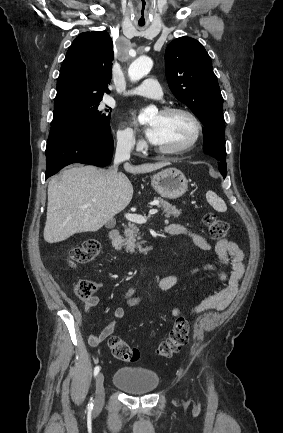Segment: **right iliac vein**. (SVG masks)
Here are the masks:
<instances>
[{
	"label": "right iliac vein",
	"mask_w": 283,
	"mask_h": 433,
	"mask_svg": "<svg viewBox=\"0 0 283 433\" xmlns=\"http://www.w3.org/2000/svg\"><path fill=\"white\" fill-rule=\"evenodd\" d=\"M95 386L96 396L94 402V410H97L105 401L104 375L102 372L97 374Z\"/></svg>",
	"instance_id": "obj_1"
}]
</instances>
